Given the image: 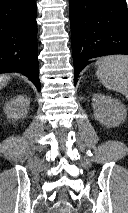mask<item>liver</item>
<instances>
[{
    "mask_svg": "<svg viewBox=\"0 0 128 213\" xmlns=\"http://www.w3.org/2000/svg\"><path fill=\"white\" fill-rule=\"evenodd\" d=\"M9 79L8 75H0V90L7 85Z\"/></svg>",
    "mask_w": 128,
    "mask_h": 213,
    "instance_id": "1",
    "label": "liver"
}]
</instances>
